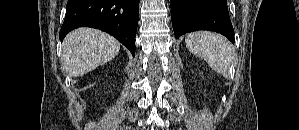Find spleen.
I'll use <instances>...</instances> for the list:
<instances>
[{
	"label": "spleen",
	"mask_w": 299,
	"mask_h": 130,
	"mask_svg": "<svg viewBox=\"0 0 299 130\" xmlns=\"http://www.w3.org/2000/svg\"><path fill=\"white\" fill-rule=\"evenodd\" d=\"M185 43L192 54L205 60L214 71L228 76L233 50L226 38L213 32L199 31L187 35Z\"/></svg>",
	"instance_id": "spleen-1"
}]
</instances>
